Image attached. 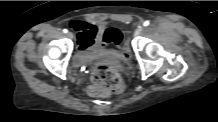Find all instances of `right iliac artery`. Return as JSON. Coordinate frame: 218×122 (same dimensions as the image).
I'll list each match as a JSON object with an SVG mask.
<instances>
[{
  "instance_id": "right-iliac-artery-1",
  "label": "right iliac artery",
  "mask_w": 218,
  "mask_h": 122,
  "mask_svg": "<svg viewBox=\"0 0 218 122\" xmlns=\"http://www.w3.org/2000/svg\"><path fill=\"white\" fill-rule=\"evenodd\" d=\"M63 32H64V33H67V32H68V30H67V29H63Z\"/></svg>"
}]
</instances>
